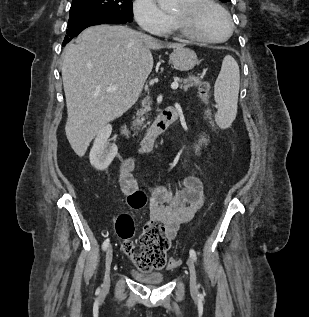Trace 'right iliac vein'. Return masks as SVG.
<instances>
[{
    "label": "right iliac vein",
    "mask_w": 309,
    "mask_h": 317,
    "mask_svg": "<svg viewBox=\"0 0 309 317\" xmlns=\"http://www.w3.org/2000/svg\"><path fill=\"white\" fill-rule=\"evenodd\" d=\"M113 259V249L112 247H108L106 251L105 257V273H104V280H103V290H108L110 287V267Z\"/></svg>",
    "instance_id": "obj_1"
}]
</instances>
